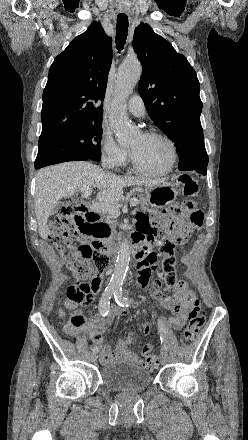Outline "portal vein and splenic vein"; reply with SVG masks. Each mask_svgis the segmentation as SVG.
I'll list each match as a JSON object with an SVG mask.
<instances>
[{
	"label": "portal vein and splenic vein",
	"mask_w": 248,
	"mask_h": 440,
	"mask_svg": "<svg viewBox=\"0 0 248 440\" xmlns=\"http://www.w3.org/2000/svg\"><path fill=\"white\" fill-rule=\"evenodd\" d=\"M82 193H83V198H87L90 193H91V189L89 187H84L81 189ZM138 204V199L136 198H132L130 200V206L134 207ZM92 210H95L97 212H102V213H108L110 215L113 216H118L120 215V211L117 207H115L114 205H111L109 203H102V202H96L91 206Z\"/></svg>",
	"instance_id": "obj_1"
}]
</instances>
